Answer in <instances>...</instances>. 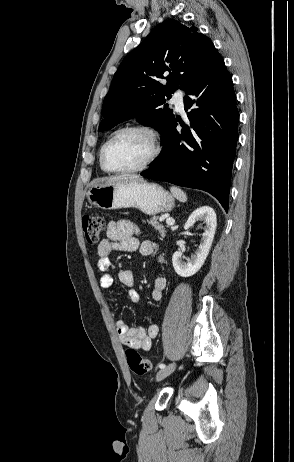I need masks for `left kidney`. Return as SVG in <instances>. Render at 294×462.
<instances>
[{"label":"left kidney","instance_id":"obj_1","mask_svg":"<svg viewBox=\"0 0 294 462\" xmlns=\"http://www.w3.org/2000/svg\"><path fill=\"white\" fill-rule=\"evenodd\" d=\"M196 221H203L205 227L200 245L195 254L191 258L186 259V262L183 261L184 256L182 252L176 251L172 257L174 270L181 277H190L199 271L208 256L214 239L217 226V218L214 210L208 206L197 208L189 216L184 229L188 230L193 227Z\"/></svg>","mask_w":294,"mask_h":462}]
</instances>
